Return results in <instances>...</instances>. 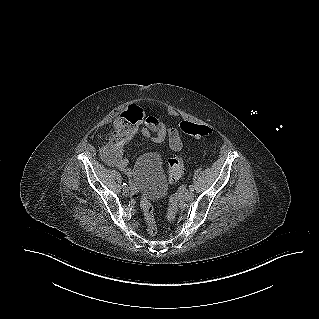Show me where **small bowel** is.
<instances>
[{"instance_id": "obj_1", "label": "small bowel", "mask_w": 319, "mask_h": 319, "mask_svg": "<svg viewBox=\"0 0 319 319\" xmlns=\"http://www.w3.org/2000/svg\"><path fill=\"white\" fill-rule=\"evenodd\" d=\"M162 124L164 122L159 116L148 115L134 102H129L128 108H123L122 112L112 120L106 121L101 127V136L106 141L100 151L103 161L107 165L129 174L128 161L124 157L125 145L135 136L137 131L158 142L156 131ZM170 148L174 151H180L182 147Z\"/></svg>"}]
</instances>
